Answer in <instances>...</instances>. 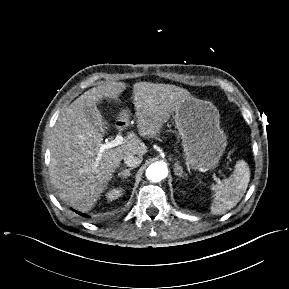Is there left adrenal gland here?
<instances>
[{
	"mask_svg": "<svg viewBox=\"0 0 289 289\" xmlns=\"http://www.w3.org/2000/svg\"><path fill=\"white\" fill-rule=\"evenodd\" d=\"M174 167H175L174 168L175 175L184 178L183 168L179 165V161L175 162Z\"/></svg>",
	"mask_w": 289,
	"mask_h": 289,
	"instance_id": "left-adrenal-gland-1",
	"label": "left adrenal gland"
}]
</instances>
